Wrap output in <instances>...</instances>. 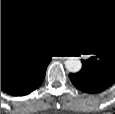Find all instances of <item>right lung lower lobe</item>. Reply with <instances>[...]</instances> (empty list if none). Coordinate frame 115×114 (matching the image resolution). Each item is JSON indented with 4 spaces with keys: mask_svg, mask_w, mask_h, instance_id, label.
Here are the masks:
<instances>
[{
    "mask_svg": "<svg viewBox=\"0 0 115 114\" xmlns=\"http://www.w3.org/2000/svg\"><path fill=\"white\" fill-rule=\"evenodd\" d=\"M50 58L30 65L19 72L4 71L1 73V90L12 96L29 94L38 88L45 77Z\"/></svg>",
    "mask_w": 115,
    "mask_h": 114,
    "instance_id": "1",
    "label": "right lung lower lobe"
}]
</instances>
